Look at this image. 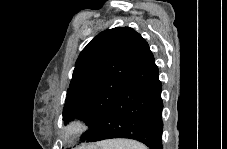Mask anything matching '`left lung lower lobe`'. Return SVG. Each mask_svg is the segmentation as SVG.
<instances>
[{
  "label": "left lung lower lobe",
  "mask_w": 227,
  "mask_h": 149,
  "mask_svg": "<svg viewBox=\"0 0 227 149\" xmlns=\"http://www.w3.org/2000/svg\"><path fill=\"white\" fill-rule=\"evenodd\" d=\"M158 76L154 56L145 42L122 91L84 142L129 138L151 149H163L162 85Z\"/></svg>",
  "instance_id": "obj_1"
}]
</instances>
